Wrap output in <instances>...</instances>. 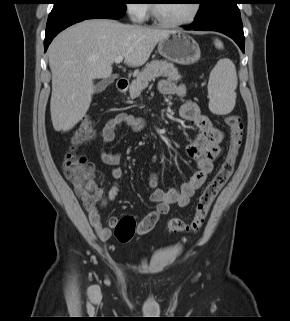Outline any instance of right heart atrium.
I'll list each match as a JSON object with an SVG mask.
<instances>
[{
	"instance_id": "d8ad5b80",
	"label": "right heart atrium",
	"mask_w": 290,
	"mask_h": 321,
	"mask_svg": "<svg viewBox=\"0 0 290 321\" xmlns=\"http://www.w3.org/2000/svg\"><path fill=\"white\" fill-rule=\"evenodd\" d=\"M143 0H128L125 6L126 13L133 22H142L146 19L148 6Z\"/></svg>"
}]
</instances>
